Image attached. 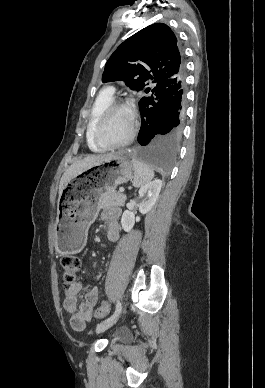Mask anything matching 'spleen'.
<instances>
[{
  "label": "spleen",
  "mask_w": 265,
  "mask_h": 388,
  "mask_svg": "<svg viewBox=\"0 0 265 388\" xmlns=\"http://www.w3.org/2000/svg\"><path fill=\"white\" fill-rule=\"evenodd\" d=\"M134 168L133 186L134 188H141L144 184H148L154 178V172L150 166H147L145 162H139V160H132Z\"/></svg>",
  "instance_id": "3e777b00"
}]
</instances>
